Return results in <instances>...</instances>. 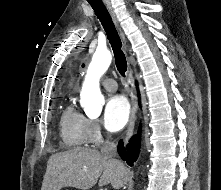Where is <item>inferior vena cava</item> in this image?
I'll list each match as a JSON object with an SVG mask.
<instances>
[{"label": "inferior vena cava", "instance_id": "inferior-vena-cava-1", "mask_svg": "<svg viewBox=\"0 0 221 190\" xmlns=\"http://www.w3.org/2000/svg\"><path fill=\"white\" fill-rule=\"evenodd\" d=\"M101 153L107 156L109 159H114L117 155V147L114 142L107 139L101 147Z\"/></svg>", "mask_w": 221, "mask_h": 190}]
</instances>
